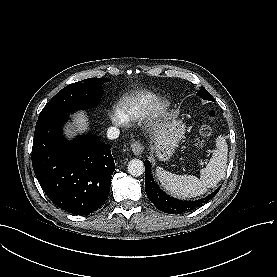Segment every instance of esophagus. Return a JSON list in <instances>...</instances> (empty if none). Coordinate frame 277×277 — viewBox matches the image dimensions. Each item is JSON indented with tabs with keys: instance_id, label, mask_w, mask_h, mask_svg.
Wrapping results in <instances>:
<instances>
[{
	"instance_id": "34e87169",
	"label": "esophagus",
	"mask_w": 277,
	"mask_h": 277,
	"mask_svg": "<svg viewBox=\"0 0 277 277\" xmlns=\"http://www.w3.org/2000/svg\"><path fill=\"white\" fill-rule=\"evenodd\" d=\"M131 149L136 156H140L144 147L140 141H135L131 144Z\"/></svg>"
}]
</instances>
